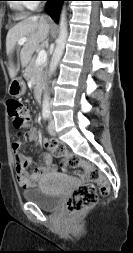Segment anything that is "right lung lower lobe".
Wrapping results in <instances>:
<instances>
[{"label": "right lung lower lobe", "instance_id": "98d812e1", "mask_svg": "<svg viewBox=\"0 0 133 253\" xmlns=\"http://www.w3.org/2000/svg\"><path fill=\"white\" fill-rule=\"evenodd\" d=\"M48 1L45 10L51 16V18L58 22L59 12L64 0H46Z\"/></svg>", "mask_w": 133, "mask_h": 253}]
</instances>
